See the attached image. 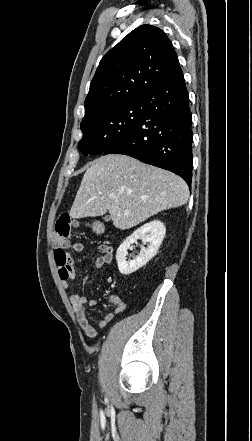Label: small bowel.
<instances>
[{
    "instance_id": "small-bowel-1",
    "label": "small bowel",
    "mask_w": 252,
    "mask_h": 441,
    "mask_svg": "<svg viewBox=\"0 0 252 441\" xmlns=\"http://www.w3.org/2000/svg\"><path fill=\"white\" fill-rule=\"evenodd\" d=\"M72 248L75 252L83 253L86 251L85 246L80 243L76 242L72 245ZM99 252L101 253L100 256H98L95 260L94 268L98 269L101 268L104 265H107L112 262L113 259V253L112 249L109 246L102 245L99 247ZM59 265V274L61 278V282L64 287L68 286V280L75 278V271H74V258L68 254V263L66 265V268H64L62 265ZM92 271L88 272L83 277V285L86 284V282L90 279L92 276ZM71 301L73 304V308L76 314L77 321L84 331V333L90 337L95 338L97 337V331L95 327L89 322L87 315H86V307H94L96 306L97 302L95 299H88L85 295H79L74 294L71 296ZM108 301L112 303L115 306V313H121L125 310L126 304L123 302V300L116 294H111L108 296ZM114 318L113 313H106L104 317L97 322V325L99 328H105L107 324L112 321Z\"/></svg>"
}]
</instances>
